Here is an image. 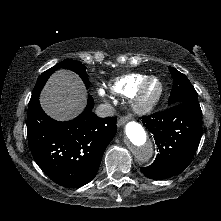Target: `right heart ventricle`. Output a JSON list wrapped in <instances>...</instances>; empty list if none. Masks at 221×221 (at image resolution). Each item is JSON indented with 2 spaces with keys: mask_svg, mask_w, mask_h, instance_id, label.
<instances>
[{
  "mask_svg": "<svg viewBox=\"0 0 221 221\" xmlns=\"http://www.w3.org/2000/svg\"><path fill=\"white\" fill-rule=\"evenodd\" d=\"M148 76L140 73L127 74L112 80L108 88L117 95L131 96Z\"/></svg>",
  "mask_w": 221,
  "mask_h": 221,
  "instance_id": "right-heart-ventricle-1",
  "label": "right heart ventricle"
}]
</instances>
